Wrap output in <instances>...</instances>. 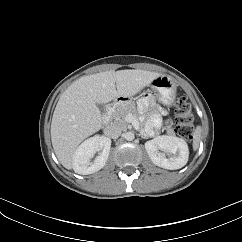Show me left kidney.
Returning a JSON list of instances; mask_svg holds the SVG:
<instances>
[{
  "mask_svg": "<svg viewBox=\"0 0 242 242\" xmlns=\"http://www.w3.org/2000/svg\"><path fill=\"white\" fill-rule=\"evenodd\" d=\"M145 149L151 161L165 169H180L188 161V145L185 140L176 136L162 135L155 137L145 143ZM160 150L163 152H160Z\"/></svg>",
  "mask_w": 242,
  "mask_h": 242,
  "instance_id": "5707ae66",
  "label": "left kidney"
}]
</instances>
